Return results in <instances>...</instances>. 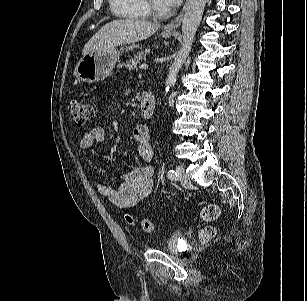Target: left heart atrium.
I'll use <instances>...</instances> for the list:
<instances>
[{"mask_svg":"<svg viewBox=\"0 0 307 301\" xmlns=\"http://www.w3.org/2000/svg\"><path fill=\"white\" fill-rule=\"evenodd\" d=\"M157 2L165 10L175 8L181 0H157Z\"/></svg>","mask_w":307,"mask_h":301,"instance_id":"1","label":"left heart atrium"}]
</instances>
